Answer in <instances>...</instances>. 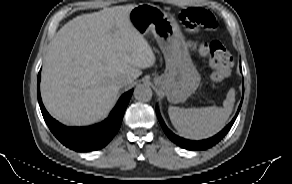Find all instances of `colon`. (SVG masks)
<instances>
[{
  "mask_svg": "<svg viewBox=\"0 0 292 184\" xmlns=\"http://www.w3.org/2000/svg\"><path fill=\"white\" fill-rule=\"evenodd\" d=\"M180 20L188 29L198 27H216L215 17L207 10L202 8H191L181 12ZM195 50L207 58L213 71L210 75L212 82H221L228 76L233 60L229 51L219 42L194 44Z\"/></svg>",
  "mask_w": 292,
  "mask_h": 184,
  "instance_id": "5ec220e1",
  "label": "colon"
}]
</instances>
